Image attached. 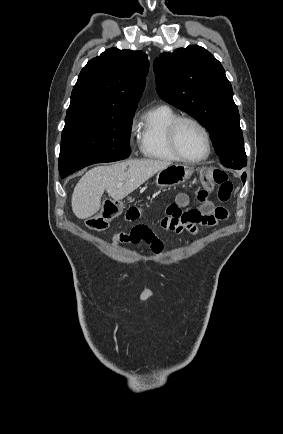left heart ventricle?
Here are the masks:
<instances>
[{
	"label": "left heart ventricle",
	"instance_id": "b2bd125f",
	"mask_svg": "<svg viewBox=\"0 0 283 434\" xmlns=\"http://www.w3.org/2000/svg\"><path fill=\"white\" fill-rule=\"evenodd\" d=\"M177 143L181 153L188 158H198L206 150L203 133L190 122H184L179 126Z\"/></svg>",
	"mask_w": 283,
	"mask_h": 434
}]
</instances>
